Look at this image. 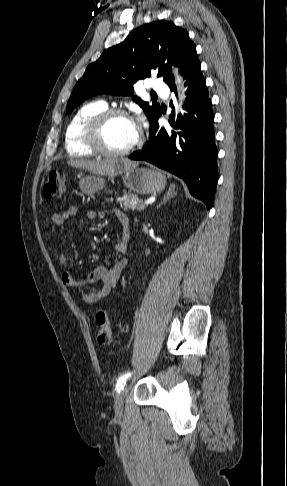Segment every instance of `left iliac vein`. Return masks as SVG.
Masks as SVG:
<instances>
[{"mask_svg": "<svg viewBox=\"0 0 287 486\" xmlns=\"http://www.w3.org/2000/svg\"><path fill=\"white\" fill-rule=\"evenodd\" d=\"M128 393V387H125L117 396L114 404L115 412L118 416L122 415L123 408H124V400Z\"/></svg>", "mask_w": 287, "mask_h": 486, "instance_id": "4c4485c4", "label": "left iliac vein"}]
</instances>
